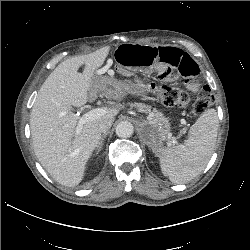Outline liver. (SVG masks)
Returning <instances> with one entry per match:
<instances>
[{"mask_svg": "<svg viewBox=\"0 0 250 250\" xmlns=\"http://www.w3.org/2000/svg\"><path fill=\"white\" fill-rule=\"evenodd\" d=\"M110 47L72 57L60 63L41 86L31 110L30 129L34 152L41 165L58 183L74 187L83 179L86 164L98 145L99 124L113 119L120 108H104L106 113L83 125L76 133L80 107L92 91L96 72L109 54ZM85 65L83 73L78 69Z\"/></svg>", "mask_w": 250, "mask_h": 250, "instance_id": "1", "label": "liver"}]
</instances>
